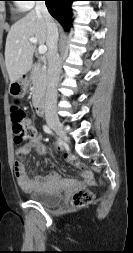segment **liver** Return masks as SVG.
I'll return each mask as SVG.
<instances>
[{
	"mask_svg": "<svg viewBox=\"0 0 133 253\" xmlns=\"http://www.w3.org/2000/svg\"><path fill=\"white\" fill-rule=\"evenodd\" d=\"M35 37L40 45L47 41L45 19L36 11L29 12L10 29L5 46V65L10 82H16L32 67L35 43L29 39Z\"/></svg>",
	"mask_w": 133,
	"mask_h": 253,
	"instance_id": "6515ba94",
	"label": "liver"
}]
</instances>
